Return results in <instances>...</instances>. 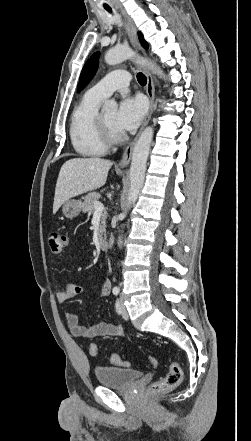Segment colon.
I'll return each instance as SVG.
<instances>
[{
  "label": "colon",
  "mask_w": 251,
  "mask_h": 441,
  "mask_svg": "<svg viewBox=\"0 0 251 441\" xmlns=\"http://www.w3.org/2000/svg\"><path fill=\"white\" fill-rule=\"evenodd\" d=\"M48 243L54 253H60L67 245V238L60 231L53 230L48 234ZM98 351V346L95 343L90 344L89 353L92 356H96ZM109 360L112 364L119 367H128L130 365L128 361L122 359L117 354H111ZM148 363L149 366L154 367L156 366V359L154 357H149ZM182 380L183 370L181 366L177 362L172 361L169 363L168 373L164 377L154 381L149 386V392L155 394L172 390L179 386L182 383Z\"/></svg>",
  "instance_id": "colon-1"
}]
</instances>
